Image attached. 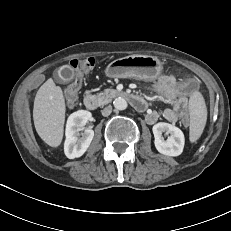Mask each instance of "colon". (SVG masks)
Returning <instances> with one entry per match:
<instances>
[{
	"mask_svg": "<svg viewBox=\"0 0 231 231\" xmlns=\"http://www.w3.org/2000/svg\"><path fill=\"white\" fill-rule=\"evenodd\" d=\"M94 64H95V60L94 58H91V57L71 61L70 63L71 67L74 69H78L79 74L76 76V79H74L72 82H70L66 86L64 90L65 98L68 104L74 103L78 95L80 85L82 84L81 80L84 78V75L86 74V72L90 71L94 67ZM44 82H45V77L38 76L37 82H33L31 84V89L37 90L39 88V84H43ZM196 87H197L196 82L192 79H189L185 81L184 83H182V91L184 94H192L196 90ZM25 96L31 97L32 91L26 90ZM182 122L184 125H188L189 119L186 117L182 120Z\"/></svg>",
	"mask_w": 231,
	"mask_h": 231,
	"instance_id": "colon-1",
	"label": "colon"
}]
</instances>
